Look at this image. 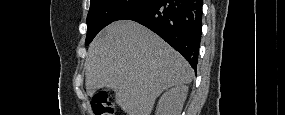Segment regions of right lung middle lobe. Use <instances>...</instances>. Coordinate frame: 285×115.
Listing matches in <instances>:
<instances>
[{
	"label": "right lung middle lobe",
	"instance_id": "right-lung-middle-lobe-1",
	"mask_svg": "<svg viewBox=\"0 0 285 115\" xmlns=\"http://www.w3.org/2000/svg\"><path fill=\"white\" fill-rule=\"evenodd\" d=\"M151 0H90L87 16L88 45L105 26L119 20L124 15L144 6Z\"/></svg>",
	"mask_w": 285,
	"mask_h": 115
}]
</instances>
